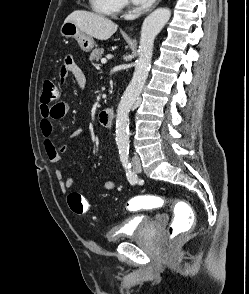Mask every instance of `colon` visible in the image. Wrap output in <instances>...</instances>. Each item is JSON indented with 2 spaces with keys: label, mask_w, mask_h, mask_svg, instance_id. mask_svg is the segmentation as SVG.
<instances>
[{
  "label": "colon",
  "mask_w": 249,
  "mask_h": 294,
  "mask_svg": "<svg viewBox=\"0 0 249 294\" xmlns=\"http://www.w3.org/2000/svg\"><path fill=\"white\" fill-rule=\"evenodd\" d=\"M59 98V89L54 81L46 79L42 85L41 101L49 104ZM67 136V135H66ZM169 198L157 196H140L130 199L126 203V210L136 212L142 209H154L167 204ZM70 209L77 215H86L89 213V204L87 200L78 193H71L68 196ZM179 207L176 217L170 222L167 228L168 238L171 241L177 240L183 233L188 231L194 224V214L190 207H187L188 213H179Z\"/></svg>",
  "instance_id": "1"
}]
</instances>
